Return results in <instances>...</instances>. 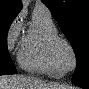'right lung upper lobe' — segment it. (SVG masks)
Wrapping results in <instances>:
<instances>
[{"label":"right lung upper lobe","instance_id":"cb5924a9","mask_svg":"<svg viewBox=\"0 0 89 89\" xmlns=\"http://www.w3.org/2000/svg\"><path fill=\"white\" fill-rule=\"evenodd\" d=\"M21 9V0H0V15L16 17Z\"/></svg>","mask_w":89,"mask_h":89}]
</instances>
